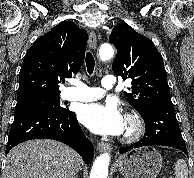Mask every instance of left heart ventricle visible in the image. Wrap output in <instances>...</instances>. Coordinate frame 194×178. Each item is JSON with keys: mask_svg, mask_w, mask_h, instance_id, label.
I'll return each mask as SVG.
<instances>
[{"mask_svg": "<svg viewBox=\"0 0 194 178\" xmlns=\"http://www.w3.org/2000/svg\"><path fill=\"white\" fill-rule=\"evenodd\" d=\"M129 129V124L125 121V130H124V133L127 132Z\"/></svg>", "mask_w": 194, "mask_h": 178, "instance_id": "1", "label": "left heart ventricle"}]
</instances>
